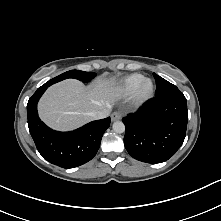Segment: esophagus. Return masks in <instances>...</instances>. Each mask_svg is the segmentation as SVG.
I'll return each mask as SVG.
<instances>
[{"label":"esophagus","mask_w":221,"mask_h":221,"mask_svg":"<svg viewBox=\"0 0 221 221\" xmlns=\"http://www.w3.org/2000/svg\"><path fill=\"white\" fill-rule=\"evenodd\" d=\"M121 113L118 112V111H115L111 114V120L112 121H117V120H120L121 119Z\"/></svg>","instance_id":"34e87169"}]
</instances>
